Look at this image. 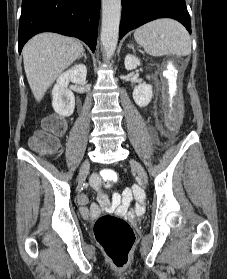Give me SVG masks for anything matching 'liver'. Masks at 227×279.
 Masks as SVG:
<instances>
[{"instance_id":"liver-1","label":"liver","mask_w":227,"mask_h":279,"mask_svg":"<svg viewBox=\"0 0 227 279\" xmlns=\"http://www.w3.org/2000/svg\"><path fill=\"white\" fill-rule=\"evenodd\" d=\"M77 39L55 33H41L23 48L26 77L36 101H41L56 78L83 52Z\"/></svg>"}]
</instances>
